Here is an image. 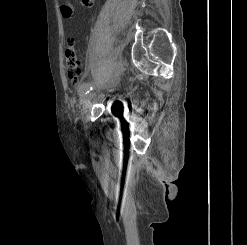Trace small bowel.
<instances>
[{
	"mask_svg": "<svg viewBox=\"0 0 247 245\" xmlns=\"http://www.w3.org/2000/svg\"><path fill=\"white\" fill-rule=\"evenodd\" d=\"M81 2L86 7H91L94 4V0H81ZM61 13L64 18H71L73 16V6L69 2L63 3Z\"/></svg>",
	"mask_w": 247,
	"mask_h": 245,
	"instance_id": "obj_1",
	"label": "small bowel"
}]
</instances>
